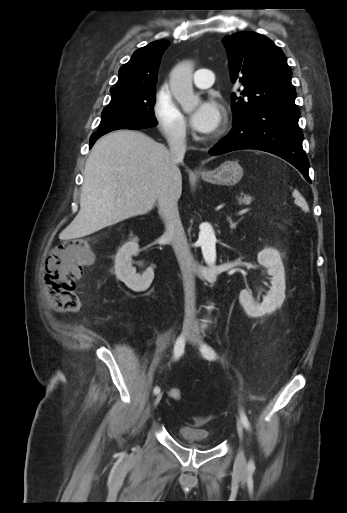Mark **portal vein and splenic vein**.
<instances>
[{
	"instance_id": "obj_1",
	"label": "portal vein and splenic vein",
	"mask_w": 347,
	"mask_h": 513,
	"mask_svg": "<svg viewBox=\"0 0 347 513\" xmlns=\"http://www.w3.org/2000/svg\"><path fill=\"white\" fill-rule=\"evenodd\" d=\"M249 211H250V209H249V208H245V209H242V210L239 212V214H240V215H244V214L248 213Z\"/></svg>"
}]
</instances>
